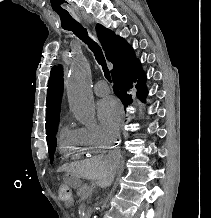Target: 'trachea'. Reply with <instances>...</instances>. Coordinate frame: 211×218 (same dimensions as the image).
Returning <instances> with one entry per match:
<instances>
[{
  "label": "trachea",
  "mask_w": 211,
  "mask_h": 218,
  "mask_svg": "<svg viewBox=\"0 0 211 218\" xmlns=\"http://www.w3.org/2000/svg\"><path fill=\"white\" fill-rule=\"evenodd\" d=\"M63 28H64V30H71V32H73L77 37L80 38V40H82L84 43H86L89 46V48L94 53V56H95L97 62L99 63V65H101L106 80H108V82L112 83L110 71L107 67V63H106L104 54L102 52V49L95 41H93L92 39L89 38L86 29L83 28L82 25H80V24L73 25V26H67V27H63Z\"/></svg>",
  "instance_id": "obj_1"
}]
</instances>
